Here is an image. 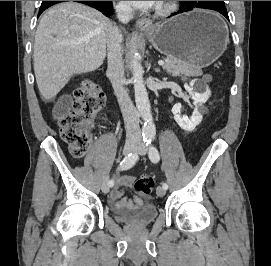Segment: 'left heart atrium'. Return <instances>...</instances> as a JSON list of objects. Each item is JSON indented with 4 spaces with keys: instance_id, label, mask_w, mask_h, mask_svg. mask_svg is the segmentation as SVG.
Masks as SVG:
<instances>
[{
    "instance_id": "left-heart-atrium-1",
    "label": "left heart atrium",
    "mask_w": 271,
    "mask_h": 266,
    "mask_svg": "<svg viewBox=\"0 0 271 266\" xmlns=\"http://www.w3.org/2000/svg\"><path fill=\"white\" fill-rule=\"evenodd\" d=\"M137 9L148 10L160 4L161 1H127Z\"/></svg>"
}]
</instances>
